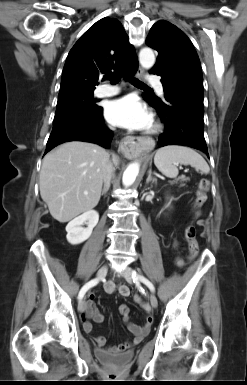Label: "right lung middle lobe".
Returning <instances> with one entry per match:
<instances>
[{
	"label": "right lung middle lobe",
	"instance_id": "right-lung-middle-lobe-1",
	"mask_svg": "<svg viewBox=\"0 0 247 385\" xmlns=\"http://www.w3.org/2000/svg\"><path fill=\"white\" fill-rule=\"evenodd\" d=\"M92 89H69L60 91L58 95L55 119L78 111H92L96 104Z\"/></svg>",
	"mask_w": 247,
	"mask_h": 385
}]
</instances>
